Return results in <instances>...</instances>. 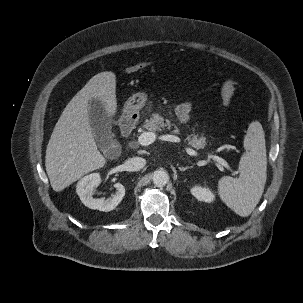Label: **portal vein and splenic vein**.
Masks as SVG:
<instances>
[{
	"mask_svg": "<svg viewBox=\"0 0 303 303\" xmlns=\"http://www.w3.org/2000/svg\"><path fill=\"white\" fill-rule=\"evenodd\" d=\"M156 139V135L153 132H144L138 137V144L141 146H148L152 144ZM159 139L164 140V141H169V142H174V143H180L181 139L178 136L175 135H162L159 137ZM185 151L187 154L191 156H196L197 152L190 147H185ZM213 160L224 166L227 170L231 171L234 175L237 174L236 171L232 170L230 165L227 163L226 160L223 158L216 156V155H211L210 156Z\"/></svg>",
	"mask_w": 303,
	"mask_h": 303,
	"instance_id": "1",
	"label": "portal vein and splenic vein"
}]
</instances>
